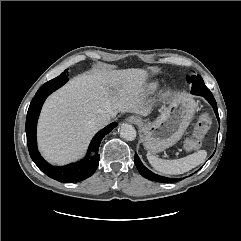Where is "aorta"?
Returning a JSON list of instances; mask_svg holds the SVG:
<instances>
[{
	"instance_id": "762f6f07",
	"label": "aorta",
	"mask_w": 241,
	"mask_h": 241,
	"mask_svg": "<svg viewBox=\"0 0 241 241\" xmlns=\"http://www.w3.org/2000/svg\"><path fill=\"white\" fill-rule=\"evenodd\" d=\"M119 134L122 138L128 141H133L136 138L135 128L127 123H123L120 125Z\"/></svg>"
}]
</instances>
